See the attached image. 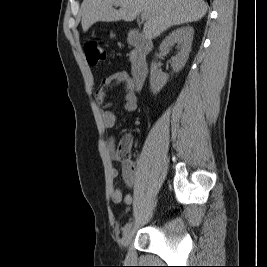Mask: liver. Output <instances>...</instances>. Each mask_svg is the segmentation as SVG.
Here are the masks:
<instances>
[{
  "label": "liver",
  "mask_w": 267,
  "mask_h": 267,
  "mask_svg": "<svg viewBox=\"0 0 267 267\" xmlns=\"http://www.w3.org/2000/svg\"><path fill=\"white\" fill-rule=\"evenodd\" d=\"M113 5L120 6L115 10ZM84 32L96 22L133 21L146 13L144 36L151 40L171 26L199 21L207 12L203 0H83L81 5Z\"/></svg>",
  "instance_id": "liver-1"
}]
</instances>
